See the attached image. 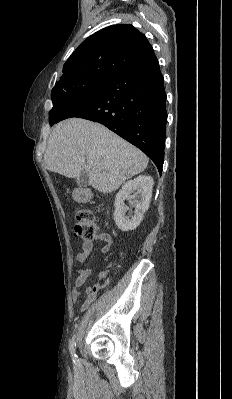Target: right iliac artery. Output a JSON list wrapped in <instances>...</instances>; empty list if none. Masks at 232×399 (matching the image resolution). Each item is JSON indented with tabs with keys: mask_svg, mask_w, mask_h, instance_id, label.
<instances>
[{
	"mask_svg": "<svg viewBox=\"0 0 232 399\" xmlns=\"http://www.w3.org/2000/svg\"><path fill=\"white\" fill-rule=\"evenodd\" d=\"M75 347H76V343H75V335H74L72 338V341H71V345H70V352H71V356H72L74 365H78L79 360L75 353Z\"/></svg>",
	"mask_w": 232,
	"mask_h": 399,
	"instance_id": "right-iliac-artery-1",
	"label": "right iliac artery"
}]
</instances>
